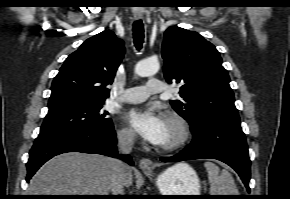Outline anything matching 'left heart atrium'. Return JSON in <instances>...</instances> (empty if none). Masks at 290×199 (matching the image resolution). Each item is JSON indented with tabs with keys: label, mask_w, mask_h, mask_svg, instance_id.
<instances>
[{
	"label": "left heart atrium",
	"mask_w": 290,
	"mask_h": 199,
	"mask_svg": "<svg viewBox=\"0 0 290 199\" xmlns=\"http://www.w3.org/2000/svg\"><path fill=\"white\" fill-rule=\"evenodd\" d=\"M127 121L141 138L159 145L166 124V118L159 110L153 107L132 109L127 114Z\"/></svg>",
	"instance_id": "left-heart-atrium-1"
}]
</instances>
